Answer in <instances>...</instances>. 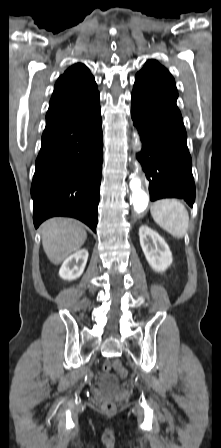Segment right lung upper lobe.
<instances>
[{
    "mask_svg": "<svg viewBox=\"0 0 221 448\" xmlns=\"http://www.w3.org/2000/svg\"><path fill=\"white\" fill-rule=\"evenodd\" d=\"M97 93V85L89 69L84 64H74L58 78L46 120L84 103Z\"/></svg>",
    "mask_w": 221,
    "mask_h": 448,
    "instance_id": "obj_1",
    "label": "right lung upper lobe"
}]
</instances>
